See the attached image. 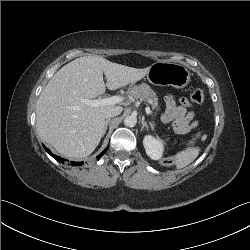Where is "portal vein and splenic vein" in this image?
<instances>
[{"label": "portal vein and splenic vein", "mask_w": 250, "mask_h": 250, "mask_svg": "<svg viewBox=\"0 0 250 250\" xmlns=\"http://www.w3.org/2000/svg\"><path fill=\"white\" fill-rule=\"evenodd\" d=\"M122 101H123V98L120 96H112L108 98L95 99V100L82 99V102H84L85 104L91 107L114 105ZM145 111L147 115L151 114V110L149 107H146Z\"/></svg>", "instance_id": "portal-vein-and-splenic-vein-1"}]
</instances>
